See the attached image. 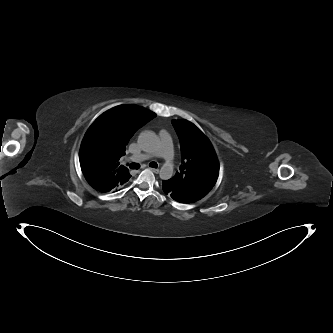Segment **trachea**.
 <instances>
[{
    "instance_id": "3493384b",
    "label": "trachea",
    "mask_w": 333,
    "mask_h": 333,
    "mask_svg": "<svg viewBox=\"0 0 333 333\" xmlns=\"http://www.w3.org/2000/svg\"><path fill=\"white\" fill-rule=\"evenodd\" d=\"M127 166H129V168H131V169H139L140 168V165L138 163L127 164ZM149 166L153 167V168H157L158 164L156 162H151L149 164Z\"/></svg>"
}]
</instances>
